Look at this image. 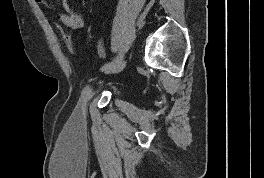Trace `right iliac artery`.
I'll use <instances>...</instances> for the list:
<instances>
[{
    "label": "right iliac artery",
    "mask_w": 264,
    "mask_h": 178,
    "mask_svg": "<svg viewBox=\"0 0 264 178\" xmlns=\"http://www.w3.org/2000/svg\"><path fill=\"white\" fill-rule=\"evenodd\" d=\"M122 58H123V55H122V53H120V54H119L116 58H114L111 62L106 63V64L101 68V70H102V71H105V70L111 68L113 65H115L116 63H118L119 61H121Z\"/></svg>",
    "instance_id": "obj_1"
}]
</instances>
